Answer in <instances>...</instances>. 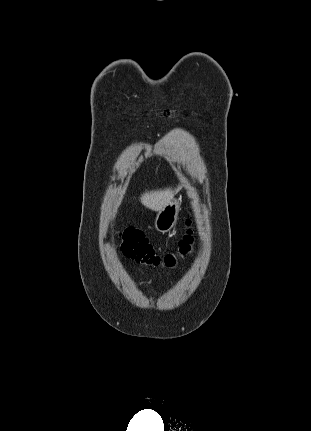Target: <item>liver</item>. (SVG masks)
<instances>
[{
    "label": "liver",
    "mask_w": 311,
    "mask_h": 431,
    "mask_svg": "<svg viewBox=\"0 0 311 431\" xmlns=\"http://www.w3.org/2000/svg\"><path fill=\"white\" fill-rule=\"evenodd\" d=\"M181 186L177 188H159V190H150V192H144L141 194L139 200L142 206L153 210V212H159L162 208H165L171 200H173L175 194L179 192Z\"/></svg>",
    "instance_id": "liver-1"
}]
</instances>
